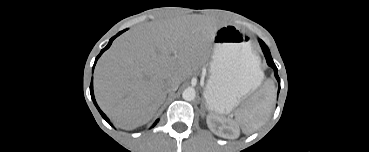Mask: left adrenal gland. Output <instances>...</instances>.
Returning a JSON list of instances; mask_svg holds the SVG:
<instances>
[{
	"mask_svg": "<svg viewBox=\"0 0 369 152\" xmlns=\"http://www.w3.org/2000/svg\"><path fill=\"white\" fill-rule=\"evenodd\" d=\"M201 109H203V110H204V101H202Z\"/></svg>",
	"mask_w": 369,
	"mask_h": 152,
	"instance_id": "1",
	"label": "left adrenal gland"
}]
</instances>
